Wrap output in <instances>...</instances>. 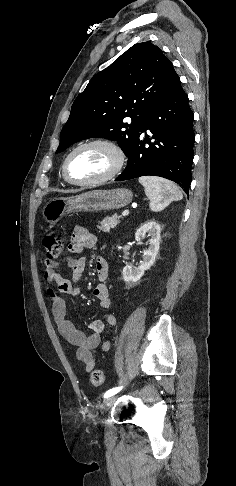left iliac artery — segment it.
Returning <instances> with one entry per match:
<instances>
[{"mask_svg": "<svg viewBox=\"0 0 236 486\" xmlns=\"http://www.w3.org/2000/svg\"><path fill=\"white\" fill-rule=\"evenodd\" d=\"M122 389V387H115V388H112L110 390H108L105 394H104V398H108L110 396H113L115 395L116 393H118L120 390Z\"/></svg>", "mask_w": 236, "mask_h": 486, "instance_id": "1", "label": "left iliac artery"}]
</instances>
